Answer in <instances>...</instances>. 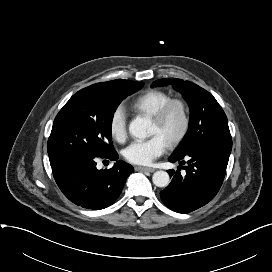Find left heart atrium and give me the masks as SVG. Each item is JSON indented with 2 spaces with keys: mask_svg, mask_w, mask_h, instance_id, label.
Wrapping results in <instances>:
<instances>
[{
  "mask_svg": "<svg viewBox=\"0 0 272 272\" xmlns=\"http://www.w3.org/2000/svg\"><path fill=\"white\" fill-rule=\"evenodd\" d=\"M167 145V142L159 134H154L147 140L131 143L123 154L130 163L148 165L164 153Z\"/></svg>",
  "mask_w": 272,
  "mask_h": 272,
  "instance_id": "1",
  "label": "left heart atrium"
}]
</instances>
